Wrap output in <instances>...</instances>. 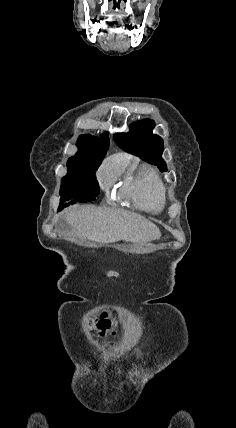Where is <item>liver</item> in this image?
I'll return each instance as SVG.
<instances>
[{"label": "liver", "instance_id": "obj_1", "mask_svg": "<svg viewBox=\"0 0 236 428\" xmlns=\"http://www.w3.org/2000/svg\"><path fill=\"white\" fill-rule=\"evenodd\" d=\"M65 218L73 232L80 238L93 242H151L160 238L161 232L155 224L140 214L116 212L110 208H71Z\"/></svg>", "mask_w": 236, "mask_h": 428}]
</instances>
